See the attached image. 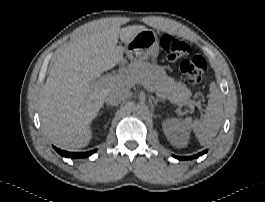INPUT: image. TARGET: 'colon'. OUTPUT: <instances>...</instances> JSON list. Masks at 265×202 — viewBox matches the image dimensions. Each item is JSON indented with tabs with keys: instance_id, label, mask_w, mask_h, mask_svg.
Returning a JSON list of instances; mask_svg holds the SVG:
<instances>
[{
	"instance_id": "colon-1",
	"label": "colon",
	"mask_w": 265,
	"mask_h": 202,
	"mask_svg": "<svg viewBox=\"0 0 265 202\" xmlns=\"http://www.w3.org/2000/svg\"><path fill=\"white\" fill-rule=\"evenodd\" d=\"M166 60L179 63V69L190 84L201 82L206 73V62L199 55L190 56V47L170 34L160 41Z\"/></svg>"
}]
</instances>
